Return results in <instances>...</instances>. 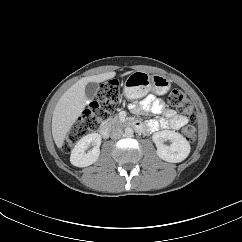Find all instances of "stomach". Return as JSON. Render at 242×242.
I'll return each instance as SVG.
<instances>
[{
	"instance_id": "obj_1",
	"label": "stomach",
	"mask_w": 242,
	"mask_h": 242,
	"mask_svg": "<svg viewBox=\"0 0 242 242\" xmlns=\"http://www.w3.org/2000/svg\"><path fill=\"white\" fill-rule=\"evenodd\" d=\"M170 87L171 81L164 75H149L144 71H135L126 79L124 93L128 99H138L144 97L149 91L163 95Z\"/></svg>"
}]
</instances>
